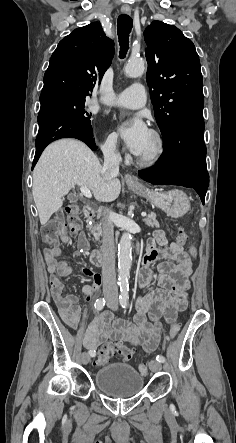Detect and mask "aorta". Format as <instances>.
<instances>
[{
    "mask_svg": "<svg viewBox=\"0 0 236 443\" xmlns=\"http://www.w3.org/2000/svg\"><path fill=\"white\" fill-rule=\"evenodd\" d=\"M144 60L139 59L131 61L124 67V72L128 77H139L144 73ZM131 235L127 232L123 233L118 245V284L120 287L128 286L130 269L132 266V247Z\"/></svg>",
    "mask_w": 236,
    "mask_h": 443,
    "instance_id": "1",
    "label": "aorta"
}]
</instances>
